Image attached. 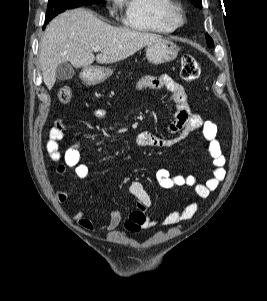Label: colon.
Returning <instances> with one entry per match:
<instances>
[{"instance_id": "1", "label": "colon", "mask_w": 267, "mask_h": 301, "mask_svg": "<svg viewBox=\"0 0 267 301\" xmlns=\"http://www.w3.org/2000/svg\"><path fill=\"white\" fill-rule=\"evenodd\" d=\"M180 75L186 82L196 80L200 75V66L191 55H185L181 59ZM58 99L61 103H68L72 99V89L64 85L58 91Z\"/></svg>"}]
</instances>
